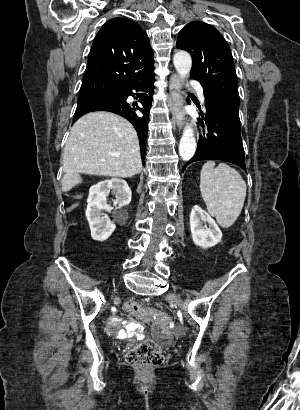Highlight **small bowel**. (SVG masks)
<instances>
[{
  "mask_svg": "<svg viewBox=\"0 0 300 410\" xmlns=\"http://www.w3.org/2000/svg\"><path fill=\"white\" fill-rule=\"evenodd\" d=\"M137 325L134 323H130L127 321H122L119 319H115L114 322L108 326L107 331L110 334H125V335H131L137 330ZM157 328H163V327H157Z\"/></svg>",
  "mask_w": 300,
  "mask_h": 410,
  "instance_id": "c3829d8e",
  "label": "small bowel"
}]
</instances>
